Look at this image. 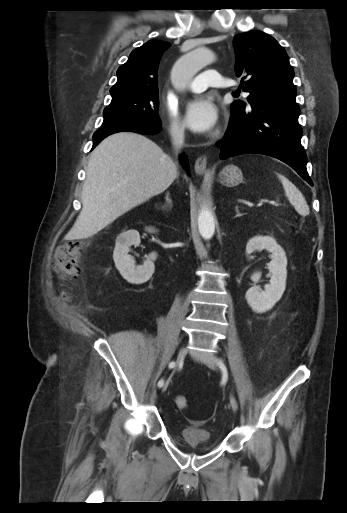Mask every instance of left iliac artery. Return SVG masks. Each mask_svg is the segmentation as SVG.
Masks as SVG:
<instances>
[{"label":"left iliac artery","instance_id":"1","mask_svg":"<svg viewBox=\"0 0 347 513\" xmlns=\"http://www.w3.org/2000/svg\"><path fill=\"white\" fill-rule=\"evenodd\" d=\"M218 364L220 365V367H222V368L224 367V364L221 360H219Z\"/></svg>","mask_w":347,"mask_h":513}]
</instances>
